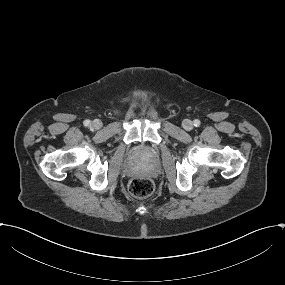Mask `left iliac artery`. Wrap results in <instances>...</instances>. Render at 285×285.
Listing matches in <instances>:
<instances>
[{
    "instance_id": "obj_1",
    "label": "left iliac artery",
    "mask_w": 285,
    "mask_h": 285,
    "mask_svg": "<svg viewBox=\"0 0 285 285\" xmlns=\"http://www.w3.org/2000/svg\"><path fill=\"white\" fill-rule=\"evenodd\" d=\"M193 124H194V126L199 127L200 124H201V122H200L198 119H195V120L193 121Z\"/></svg>"
}]
</instances>
